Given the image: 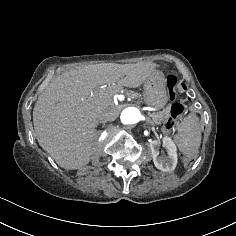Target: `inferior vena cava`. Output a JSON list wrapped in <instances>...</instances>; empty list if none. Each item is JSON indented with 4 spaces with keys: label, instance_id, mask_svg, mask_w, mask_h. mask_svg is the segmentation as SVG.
I'll return each instance as SVG.
<instances>
[{
    "label": "inferior vena cava",
    "instance_id": "inferior-vena-cava-1",
    "mask_svg": "<svg viewBox=\"0 0 236 236\" xmlns=\"http://www.w3.org/2000/svg\"><path fill=\"white\" fill-rule=\"evenodd\" d=\"M93 117H94V119L99 120V119H101L102 114H101V112L96 111V112H94Z\"/></svg>",
    "mask_w": 236,
    "mask_h": 236
}]
</instances>
